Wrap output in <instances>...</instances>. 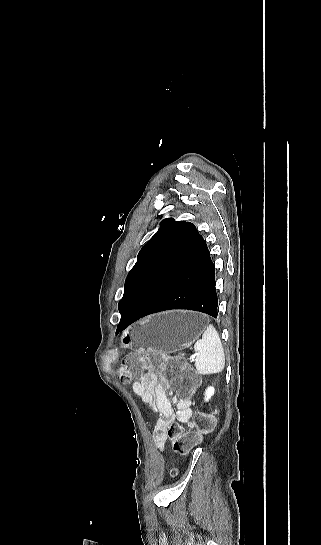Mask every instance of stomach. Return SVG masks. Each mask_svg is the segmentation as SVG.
Listing matches in <instances>:
<instances>
[{"label": "stomach", "instance_id": "0dacf381", "mask_svg": "<svg viewBox=\"0 0 321 545\" xmlns=\"http://www.w3.org/2000/svg\"><path fill=\"white\" fill-rule=\"evenodd\" d=\"M207 317L193 311H166L137 321L123 331L121 349L134 353L165 351L176 353L188 349L202 335Z\"/></svg>", "mask_w": 321, "mask_h": 545}]
</instances>
